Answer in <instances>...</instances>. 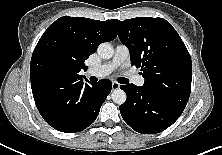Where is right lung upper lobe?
I'll return each instance as SVG.
<instances>
[{"instance_id":"right-lung-upper-lobe-1","label":"right lung upper lobe","mask_w":222,"mask_h":155,"mask_svg":"<svg viewBox=\"0 0 222 155\" xmlns=\"http://www.w3.org/2000/svg\"><path fill=\"white\" fill-rule=\"evenodd\" d=\"M117 36L112 20L99 21L63 16L53 22L38 41L31 58L30 78L34 90L81 79L84 61L99 44Z\"/></svg>"}]
</instances>
